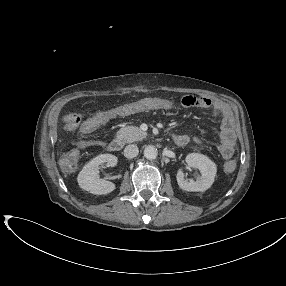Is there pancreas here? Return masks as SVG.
I'll return each instance as SVG.
<instances>
[{
    "instance_id": "obj_1",
    "label": "pancreas",
    "mask_w": 286,
    "mask_h": 286,
    "mask_svg": "<svg viewBox=\"0 0 286 286\" xmlns=\"http://www.w3.org/2000/svg\"><path fill=\"white\" fill-rule=\"evenodd\" d=\"M147 133L136 126H126L117 131L116 137L122 143H132L146 138Z\"/></svg>"
}]
</instances>
